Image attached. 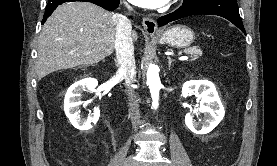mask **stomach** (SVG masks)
<instances>
[{"label": "stomach", "instance_id": "1", "mask_svg": "<svg viewBox=\"0 0 277 166\" xmlns=\"http://www.w3.org/2000/svg\"><path fill=\"white\" fill-rule=\"evenodd\" d=\"M155 37L160 44H166L175 48H185L193 43L195 34L191 28L185 25H176L155 35Z\"/></svg>", "mask_w": 277, "mask_h": 166}]
</instances>
